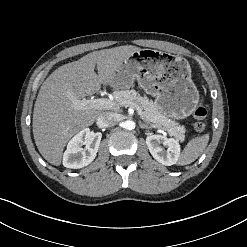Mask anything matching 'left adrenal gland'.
Returning a JSON list of instances; mask_svg holds the SVG:
<instances>
[{
  "mask_svg": "<svg viewBox=\"0 0 247 247\" xmlns=\"http://www.w3.org/2000/svg\"><path fill=\"white\" fill-rule=\"evenodd\" d=\"M139 126H140L142 129H151L150 126H148V125H146V124H144V123H142V122H139Z\"/></svg>",
  "mask_w": 247,
  "mask_h": 247,
  "instance_id": "1",
  "label": "left adrenal gland"
}]
</instances>
